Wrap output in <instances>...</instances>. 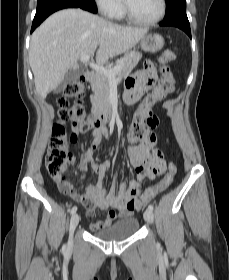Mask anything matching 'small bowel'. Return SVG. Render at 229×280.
<instances>
[{"label":"small bowel","instance_id":"small-bowel-1","mask_svg":"<svg viewBox=\"0 0 229 280\" xmlns=\"http://www.w3.org/2000/svg\"><path fill=\"white\" fill-rule=\"evenodd\" d=\"M157 81L158 75L156 67L153 65L144 66L140 71L126 79L123 95L124 100L127 103L136 102L139 100L141 94L155 86ZM172 83H174L173 79ZM168 94L169 93L166 92L159 83L151 94L153 96V102L147 103L143 101L138 111L144 114H152V105L163 100ZM93 136L94 140L81 157L79 170L85 172L90 168L98 175V182L96 184L86 185L84 191L81 193L75 191L66 192V194L74 201L80 203L85 208L88 216H92L95 209H113L104 220L90 224V229L94 231L109 227L118 216L131 217L139 210L131 207L128 203L130 200L139 197L141 185L144 182L156 178L154 173L144 168V161L148 157L150 150L155 146L157 135L154 131L149 130L140 144L128 148L126 159L135 169L136 178L128 185L121 183L117 186L116 180L122 172V167L119 166L115 172L114 183L110 192H107L103 185L110 171L111 162L106 160L102 163H98L93 158V152L95 150L94 145H97V143L103 140H108L109 135L104 128H94Z\"/></svg>","mask_w":229,"mask_h":280}]
</instances>
